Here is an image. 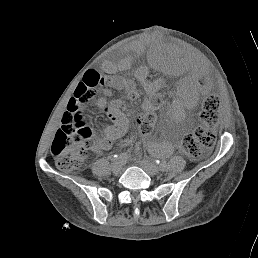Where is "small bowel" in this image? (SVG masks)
I'll return each instance as SVG.
<instances>
[{"label": "small bowel", "mask_w": 258, "mask_h": 258, "mask_svg": "<svg viewBox=\"0 0 258 258\" xmlns=\"http://www.w3.org/2000/svg\"><path fill=\"white\" fill-rule=\"evenodd\" d=\"M134 58L132 55L126 56L122 61H121V66L122 67H127L133 64ZM111 66V65H110ZM193 75H197L198 71L196 69L192 70ZM95 106L103 111L105 115L110 119V120H115L116 114L115 112L105 103V101L102 98H98L94 101ZM124 133V127L123 125L116 120L115 124L113 126L106 127L103 129L102 132V138L96 147L97 151H102V150H107L111 148V146L114 144V142ZM147 144L154 150L161 151L162 148L167 149V152L170 149V144L169 143H159L155 142L152 139H146Z\"/></svg>", "instance_id": "1"}]
</instances>
